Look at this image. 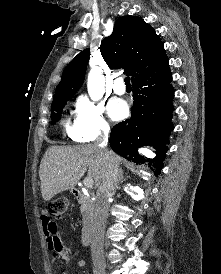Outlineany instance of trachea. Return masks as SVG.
Instances as JSON below:
<instances>
[{"mask_svg": "<svg viewBox=\"0 0 221 274\" xmlns=\"http://www.w3.org/2000/svg\"><path fill=\"white\" fill-rule=\"evenodd\" d=\"M124 82H125L126 86H131V84H130V78L128 76L124 79Z\"/></svg>", "mask_w": 221, "mask_h": 274, "instance_id": "3493384b", "label": "trachea"}]
</instances>
